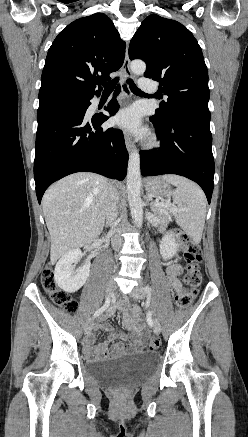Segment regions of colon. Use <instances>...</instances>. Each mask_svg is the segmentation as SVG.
Returning a JSON list of instances; mask_svg holds the SVG:
<instances>
[{"label":"colon","mask_w":248,"mask_h":437,"mask_svg":"<svg viewBox=\"0 0 248 437\" xmlns=\"http://www.w3.org/2000/svg\"><path fill=\"white\" fill-rule=\"evenodd\" d=\"M184 250V257L188 266L187 275L184 277L185 287L175 294V302L178 307L186 308L192 299L197 295L199 286L202 282V275L199 264L202 261L201 248L199 244L187 237L179 239ZM41 284L51 300L60 306L65 312L73 313L77 308V302L66 292L59 289L54 279L52 266L44 268L41 275ZM160 346V341L156 337L149 339L148 348L156 350Z\"/></svg>","instance_id":"obj_1"}]
</instances>
